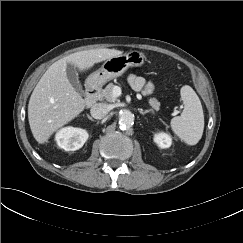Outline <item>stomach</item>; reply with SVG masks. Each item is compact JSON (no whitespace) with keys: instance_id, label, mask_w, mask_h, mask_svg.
<instances>
[{"instance_id":"1","label":"stomach","mask_w":243,"mask_h":243,"mask_svg":"<svg viewBox=\"0 0 243 243\" xmlns=\"http://www.w3.org/2000/svg\"><path fill=\"white\" fill-rule=\"evenodd\" d=\"M144 63V54L137 50L111 57L104 62L101 68L87 78V83L102 86L106 82L123 75L129 67H139Z\"/></svg>"}]
</instances>
